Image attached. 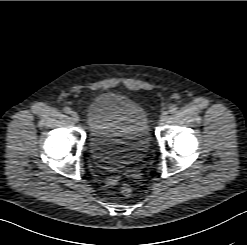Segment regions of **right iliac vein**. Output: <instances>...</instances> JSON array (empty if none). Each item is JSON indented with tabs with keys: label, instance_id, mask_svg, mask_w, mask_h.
<instances>
[{
	"label": "right iliac vein",
	"instance_id": "1",
	"mask_svg": "<svg viewBox=\"0 0 247 245\" xmlns=\"http://www.w3.org/2000/svg\"><path fill=\"white\" fill-rule=\"evenodd\" d=\"M70 115H71V118H72V120H73L74 122H78V121H79V115H78L77 112L72 111V112L70 113Z\"/></svg>",
	"mask_w": 247,
	"mask_h": 245
}]
</instances>
